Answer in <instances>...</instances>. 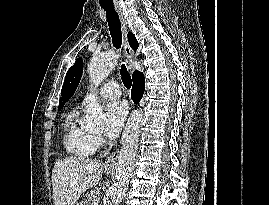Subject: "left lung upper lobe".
I'll return each instance as SVG.
<instances>
[{
  "label": "left lung upper lobe",
  "mask_w": 269,
  "mask_h": 205,
  "mask_svg": "<svg viewBox=\"0 0 269 205\" xmlns=\"http://www.w3.org/2000/svg\"><path fill=\"white\" fill-rule=\"evenodd\" d=\"M82 58H78L75 64L68 70L61 91L59 110L74 94L82 75Z\"/></svg>",
  "instance_id": "left-lung-upper-lobe-1"
}]
</instances>
